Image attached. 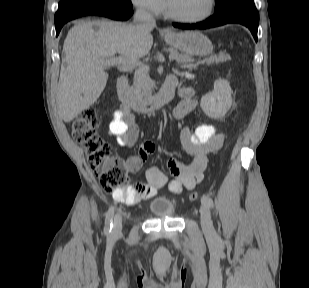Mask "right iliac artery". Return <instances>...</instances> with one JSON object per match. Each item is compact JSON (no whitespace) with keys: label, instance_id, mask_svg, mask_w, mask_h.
<instances>
[{"label":"right iliac artery","instance_id":"obj_1","mask_svg":"<svg viewBox=\"0 0 309 288\" xmlns=\"http://www.w3.org/2000/svg\"><path fill=\"white\" fill-rule=\"evenodd\" d=\"M113 215H114V209L111 207L107 213H106V219H105V233L106 234H110L111 233V230H112V218H113Z\"/></svg>","mask_w":309,"mask_h":288}]
</instances>
